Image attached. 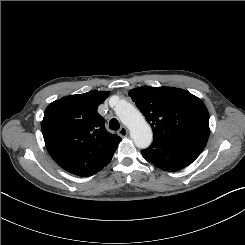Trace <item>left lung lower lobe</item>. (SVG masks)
<instances>
[{
  "label": "left lung lower lobe",
  "instance_id": "left-lung-lower-lobe-1",
  "mask_svg": "<svg viewBox=\"0 0 245 245\" xmlns=\"http://www.w3.org/2000/svg\"><path fill=\"white\" fill-rule=\"evenodd\" d=\"M200 153L159 140H153L150 147L142 150L148 162L165 171H177L190 165Z\"/></svg>",
  "mask_w": 245,
  "mask_h": 245
}]
</instances>
